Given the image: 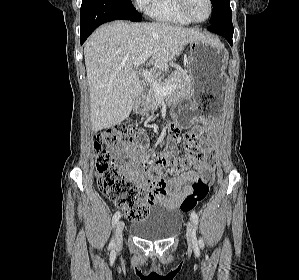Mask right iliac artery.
Wrapping results in <instances>:
<instances>
[{"label": "right iliac artery", "mask_w": 299, "mask_h": 280, "mask_svg": "<svg viewBox=\"0 0 299 280\" xmlns=\"http://www.w3.org/2000/svg\"><path fill=\"white\" fill-rule=\"evenodd\" d=\"M120 212L119 211H117L115 214H114V216H113V219H112V224H113V226H115L116 225V223L118 222V220H119V218H120ZM109 247H110V249H114L115 248V242H114V240H111V242H110V244H109Z\"/></svg>", "instance_id": "82829eb1"}]
</instances>
